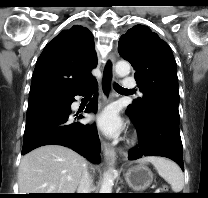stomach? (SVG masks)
Wrapping results in <instances>:
<instances>
[{
	"instance_id": "0dacf381",
	"label": "stomach",
	"mask_w": 208,
	"mask_h": 198,
	"mask_svg": "<svg viewBox=\"0 0 208 198\" xmlns=\"http://www.w3.org/2000/svg\"><path fill=\"white\" fill-rule=\"evenodd\" d=\"M129 187L137 191L147 189L153 181V173L143 164L129 168L125 174Z\"/></svg>"
}]
</instances>
